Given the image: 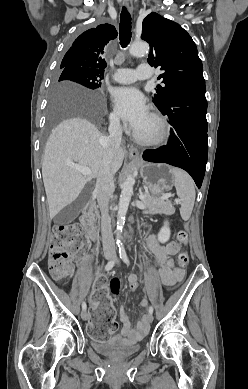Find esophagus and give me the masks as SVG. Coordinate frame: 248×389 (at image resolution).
Instances as JSON below:
<instances>
[{
	"mask_svg": "<svg viewBox=\"0 0 248 389\" xmlns=\"http://www.w3.org/2000/svg\"><path fill=\"white\" fill-rule=\"evenodd\" d=\"M124 4L129 11H132L133 9L132 0H124ZM128 150H129V156L132 160H137L139 158V151L136 147L129 145Z\"/></svg>",
	"mask_w": 248,
	"mask_h": 389,
	"instance_id": "esophagus-1",
	"label": "esophagus"
}]
</instances>
